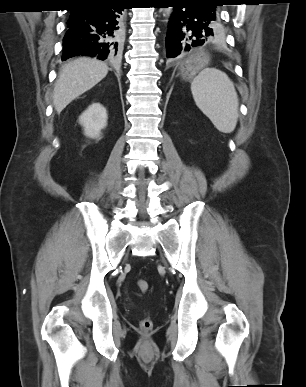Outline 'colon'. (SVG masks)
<instances>
[{"instance_id":"5ec220e1","label":"colon","mask_w":306,"mask_h":387,"mask_svg":"<svg viewBox=\"0 0 306 387\" xmlns=\"http://www.w3.org/2000/svg\"><path fill=\"white\" fill-rule=\"evenodd\" d=\"M137 287L142 293H146L149 290V284L144 279H139L137 281ZM153 323L149 318H145L140 322V328L144 332H148L152 329Z\"/></svg>"}]
</instances>
